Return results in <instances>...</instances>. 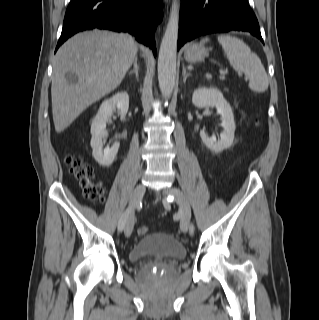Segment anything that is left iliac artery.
<instances>
[{
  "label": "left iliac artery",
  "instance_id": "obj_1",
  "mask_svg": "<svg viewBox=\"0 0 319 320\" xmlns=\"http://www.w3.org/2000/svg\"><path fill=\"white\" fill-rule=\"evenodd\" d=\"M193 233H194V227H193V225H191L190 226V234L193 235Z\"/></svg>",
  "mask_w": 319,
  "mask_h": 320
}]
</instances>
